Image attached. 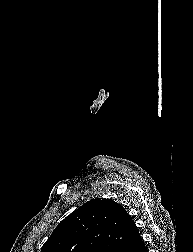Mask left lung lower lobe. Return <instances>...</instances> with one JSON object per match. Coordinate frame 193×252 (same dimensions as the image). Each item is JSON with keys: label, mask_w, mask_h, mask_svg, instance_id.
Masks as SVG:
<instances>
[{"label": "left lung lower lobe", "mask_w": 193, "mask_h": 252, "mask_svg": "<svg viewBox=\"0 0 193 252\" xmlns=\"http://www.w3.org/2000/svg\"><path fill=\"white\" fill-rule=\"evenodd\" d=\"M122 252H148L137 229L132 234Z\"/></svg>", "instance_id": "1"}]
</instances>
